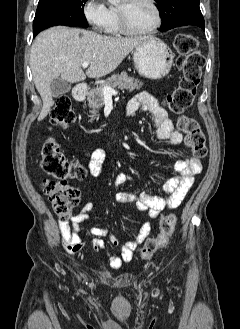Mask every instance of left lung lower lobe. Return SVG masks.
<instances>
[{
  "label": "left lung lower lobe",
  "instance_id": "left-lung-lower-lobe-1",
  "mask_svg": "<svg viewBox=\"0 0 240 329\" xmlns=\"http://www.w3.org/2000/svg\"><path fill=\"white\" fill-rule=\"evenodd\" d=\"M196 26H198V25H196ZM200 28H202L203 30H204V26H199Z\"/></svg>",
  "mask_w": 240,
  "mask_h": 329
}]
</instances>
